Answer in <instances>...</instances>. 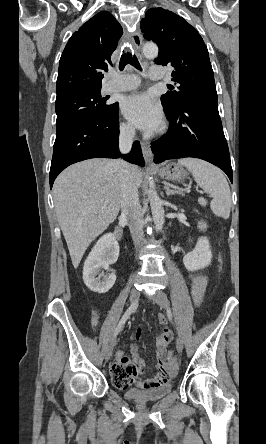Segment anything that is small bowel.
Instances as JSON below:
<instances>
[{"mask_svg": "<svg viewBox=\"0 0 266 444\" xmlns=\"http://www.w3.org/2000/svg\"><path fill=\"white\" fill-rule=\"evenodd\" d=\"M191 292L194 302L197 304L201 301L205 288L206 278L202 274L191 275ZM159 322L163 326L161 335L157 338L156 357L157 373L153 378L143 379L141 375L145 371V363L142 358L137 355L138 345L133 343L131 345L132 358L125 355H119L116 361L111 365L110 372L113 384L119 389H126L132 384L143 389H152L167 383V372L175 373L170 370L167 363V346L172 340V332L167 328V319L163 314H160ZM99 314L93 313L92 325L97 327L99 324ZM141 330L135 333V341L141 337Z\"/></svg>", "mask_w": 266, "mask_h": 444, "instance_id": "small-bowel-1", "label": "small bowel"}]
</instances>
